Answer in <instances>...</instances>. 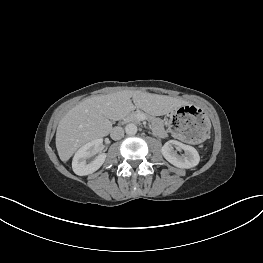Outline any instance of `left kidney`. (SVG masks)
<instances>
[{
    "mask_svg": "<svg viewBox=\"0 0 263 263\" xmlns=\"http://www.w3.org/2000/svg\"><path fill=\"white\" fill-rule=\"evenodd\" d=\"M173 146L184 150L185 153L183 155H178L173 150ZM161 152L169 163L178 168L189 169L197 166L200 161V156L194 147L183 144L176 140H170L166 142L163 145Z\"/></svg>",
    "mask_w": 263,
    "mask_h": 263,
    "instance_id": "left-kidney-1",
    "label": "left kidney"
}]
</instances>
